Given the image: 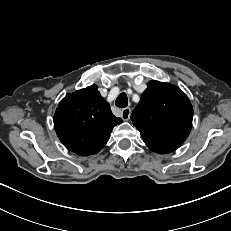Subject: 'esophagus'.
I'll return each instance as SVG.
<instances>
[{"instance_id": "1", "label": "esophagus", "mask_w": 231, "mask_h": 231, "mask_svg": "<svg viewBox=\"0 0 231 231\" xmlns=\"http://www.w3.org/2000/svg\"><path fill=\"white\" fill-rule=\"evenodd\" d=\"M130 115H131V109H130V108L127 107V108H124V109L122 110L121 117H122V119H123L124 121L129 120Z\"/></svg>"}]
</instances>
